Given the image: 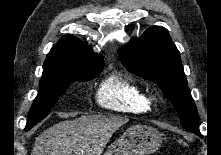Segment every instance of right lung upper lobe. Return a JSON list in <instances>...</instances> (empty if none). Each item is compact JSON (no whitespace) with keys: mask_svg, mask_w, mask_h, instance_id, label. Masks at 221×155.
<instances>
[{"mask_svg":"<svg viewBox=\"0 0 221 155\" xmlns=\"http://www.w3.org/2000/svg\"><path fill=\"white\" fill-rule=\"evenodd\" d=\"M102 56L97 55L79 39L67 35L55 45L43 65L45 72H62L76 68L103 66Z\"/></svg>","mask_w":221,"mask_h":155,"instance_id":"1","label":"right lung upper lobe"}]
</instances>
